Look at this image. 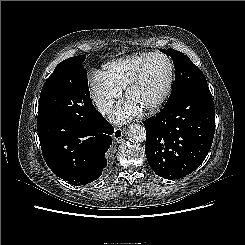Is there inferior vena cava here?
I'll return each mask as SVG.
<instances>
[{"instance_id":"1","label":"inferior vena cava","mask_w":245,"mask_h":245,"mask_svg":"<svg viewBox=\"0 0 245 245\" xmlns=\"http://www.w3.org/2000/svg\"><path fill=\"white\" fill-rule=\"evenodd\" d=\"M97 110L101 114H106L111 108H112V102L111 101H106V100H101L96 103Z\"/></svg>"}]
</instances>
